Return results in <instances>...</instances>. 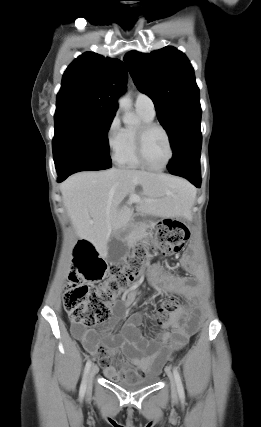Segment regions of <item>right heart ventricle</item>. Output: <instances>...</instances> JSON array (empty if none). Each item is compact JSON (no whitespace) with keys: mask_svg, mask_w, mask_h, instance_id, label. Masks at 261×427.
Wrapping results in <instances>:
<instances>
[{"mask_svg":"<svg viewBox=\"0 0 261 427\" xmlns=\"http://www.w3.org/2000/svg\"><path fill=\"white\" fill-rule=\"evenodd\" d=\"M137 113L141 118L142 123L152 122L153 118L148 117L146 114L138 110ZM135 133L136 128L126 127L123 129L121 148L115 156L116 163L123 168L140 169L144 167L139 162L136 155Z\"/></svg>","mask_w":261,"mask_h":427,"instance_id":"right-heart-ventricle-1","label":"right heart ventricle"}]
</instances>
